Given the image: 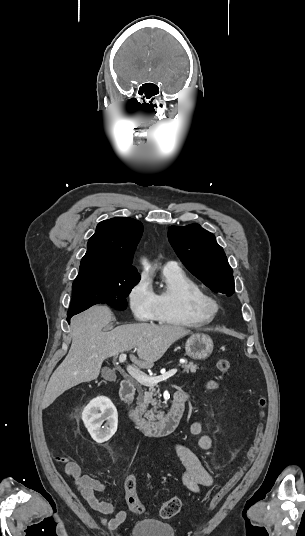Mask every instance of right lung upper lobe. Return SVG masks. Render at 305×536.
<instances>
[{"label":"right lung upper lobe","instance_id":"1","mask_svg":"<svg viewBox=\"0 0 305 536\" xmlns=\"http://www.w3.org/2000/svg\"><path fill=\"white\" fill-rule=\"evenodd\" d=\"M142 232V223L128 217L100 222L88 241L77 277L140 276L131 264Z\"/></svg>","mask_w":305,"mask_h":536}]
</instances>
